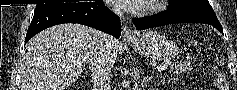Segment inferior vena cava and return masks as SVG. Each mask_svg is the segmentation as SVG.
<instances>
[{
  "mask_svg": "<svg viewBox=\"0 0 237 90\" xmlns=\"http://www.w3.org/2000/svg\"><path fill=\"white\" fill-rule=\"evenodd\" d=\"M112 12L124 18V12L121 6H112ZM118 42L108 34H102L100 46L95 56L89 60L92 72L93 90H111L110 72L117 58Z\"/></svg>",
  "mask_w": 237,
  "mask_h": 90,
  "instance_id": "1",
  "label": "inferior vena cava"
}]
</instances>
